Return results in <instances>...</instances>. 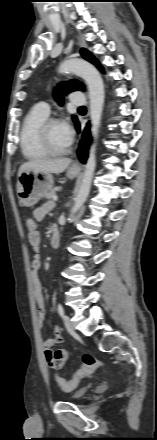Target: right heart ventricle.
<instances>
[{"mask_svg": "<svg viewBox=\"0 0 157 440\" xmlns=\"http://www.w3.org/2000/svg\"><path fill=\"white\" fill-rule=\"evenodd\" d=\"M48 115L37 106L32 108L24 117L20 131V146L25 157L38 159L48 155L38 141V128Z\"/></svg>", "mask_w": 157, "mask_h": 440, "instance_id": "e07e8e85", "label": "right heart ventricle"}]
</instances>
